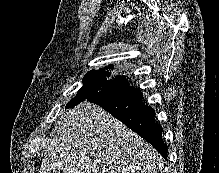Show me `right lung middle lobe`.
Returning <instances> with one entry per match:
<instances>
[{
    "instance_id": "1",
    "label": "right lung middle lobe",
    "mask_w": 219,
    "mask_h": 173,
    "mask_svg": "<svg viewBox=\"0 0 219 173\" xmlns=\"http://www.w3.org/2000/svg\"><path fill=\"white\" fill-rule=\"evenodd\" d=\"M113 68L114 65L108 66V69ZM105 69L89 71L83 78V87L78 91L76 97L66 105V108L74 107L93 95H105L120 91L124 86L125 76H111V72Z\"/></svg>"
}]
</instances>
